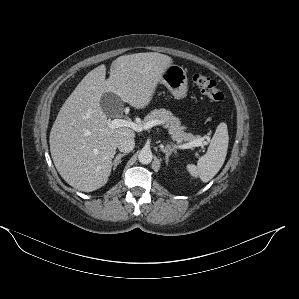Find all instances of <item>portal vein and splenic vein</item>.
I'll return each mask as SVG.
<instances>
[{"label":"portal vein and splenic vein","mask_w":299,"mask_h":299,"mask_svg":"<svg viewBox=\"0 0 299 299\" xmlns=\"http://www.w3.org/2000/svg\"><path fill=\"white\" fill-rule=\"evenodd\" d=\"M156 125H164V122L161 120H152V121L148 122L146 125H139L131 120L117 118V119H113L111 122L108 123L109 128L129 127L137 132H141L143 130L150 129ZM201 145H202V142L197 140V141L185 143L183 145H177L175 147L179 148V149H188V148H193V147H197V146H201ZM196 155L198 156V154H196Z\"/></svg>","instance_id":"obj_1"}]
</instances>
